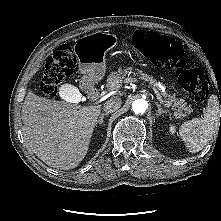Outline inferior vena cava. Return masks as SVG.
<instances>
[{
    "label": "inferior vena cava",
    "mask_w": 221,
    "mask_h": 221,
    "mask_svg": "<svg viewBox=\"0 0 221 221\" xmlns=\"http://www.w3.org/2000/svg\"><path fill=\"white\" fill-rule=\"evenodd\" d=\"M121 104H122L121 98L112 97L104 103L103 111L105 113L115 112L120 108Z\"/></svg>",
    "instance_id": "obj_1"
}]
</instances>
